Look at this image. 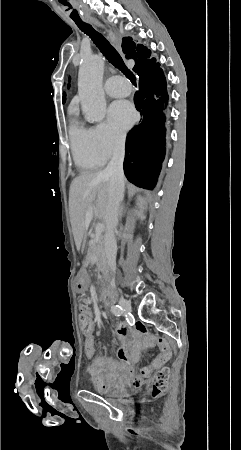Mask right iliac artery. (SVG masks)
Listing matches in <instances>:
<instances>
[{"instance_id":"obj_1","label":"right iliac artery","mask_w":241,"mask_h":450,"mask_svg":"<svg viewBox=\"0 0 241 450\" xmlns=\"http://www.w3.org/2000/svg\"><path fill=\"white\" fill-rule=\"evenodd\" d=\"M111 311L115 316H121L122 307L119 305L112 306Z\"/></svg>"}]
</instances>
